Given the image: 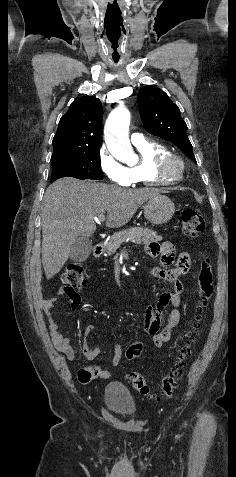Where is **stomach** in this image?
Returning <instances> with one entry per match:
<instances>
[{
	"label": "stomach",
	"mask_w": 236,
	"mask_h": 477,
	"mask_svg": "<svg viewBox=\"0 0 236 477\" xmlns=\"http://www.w3.org/2000/svg\"><path fill=\"white\" fill-rule=\"evenodd\" d=\"M145 218L152 224H164L175 213L174 203L165 195L159 194L149 199L143 206Z\"/></svg>",
	"instance_id": "obj_1"
}]
</instances>
